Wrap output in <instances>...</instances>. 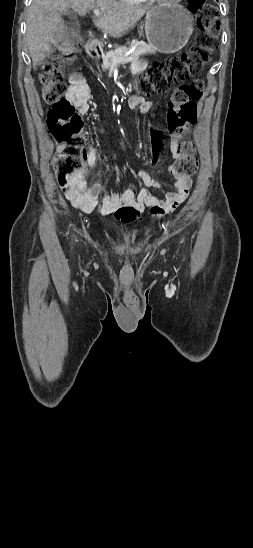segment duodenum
<instances>
[{
  "mask_svg": "<svg viewBox=\"0 0 253 548\" xmlns=\"http://www.w3.org/2000/svg\"><path fill=\"white\" fill-rule=\"evenodd\" d=\"M87 52L92 58H97L101 53L99 46L94 41L87 44Z\"/></svg>",
  "mask_w": 253,
  "mask_h": 548,
  "instance_id": "obj_1",
  "label": "duodenum"
}]
</instances>
